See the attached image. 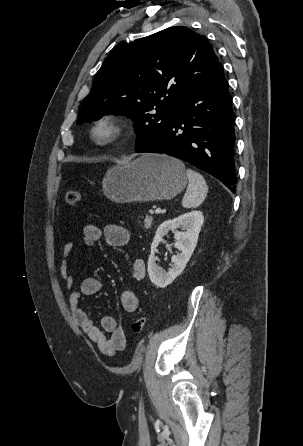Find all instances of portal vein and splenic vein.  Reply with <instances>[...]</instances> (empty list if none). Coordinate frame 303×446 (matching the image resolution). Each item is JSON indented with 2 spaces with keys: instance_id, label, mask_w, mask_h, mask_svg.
Listing matches in <instances>:
<instances>
[{
  "instance_id": "obj_1",
  "label": "portal vein and splenic vein",
  "mask_w": 303,
  "mask_h": 446,
  "mask_svg": "<svg viewBox=\"0 0 303 446\" xmlns=\"http://www.w3.org/2000/svg\"><path fill=\"white\" fill-rule=\"evenodd\" d=\"M162 212V209L161 208H157L156 210H155V213L156 214H160Z\"/></svg>"
}]
</instances>
